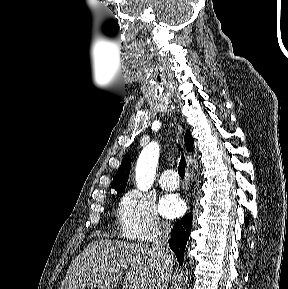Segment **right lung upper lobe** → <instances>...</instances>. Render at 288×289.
Wrapping results in <instances>:
<instances>
[{"mask_svg":"<svg viewBox=\"0 0 288 289\" xmlns=\"http://www.w3.org/2000/svg\"><path fill=\"white\" fill-rule=\"evenodd\" d=\"M193 143H194V139L191 136L190 131H187L185 134V146L188 151L193 150ZM130 167H131V158L129 155L126 154L123 158L121 166L119 167L112 181L111 187L113 189H115L116 191H124L127 181H128Z\"/></svg>","mask_w":288,"mask_h":289,"instance_id":"1","label":"right lung upper lobe"}]
</instances>
